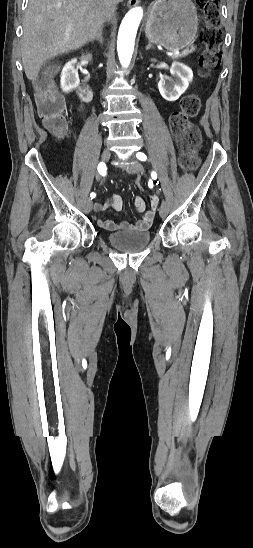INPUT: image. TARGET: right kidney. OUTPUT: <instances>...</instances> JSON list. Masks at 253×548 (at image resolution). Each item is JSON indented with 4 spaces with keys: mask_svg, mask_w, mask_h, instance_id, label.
<instances>
[{
    "mask_svg": "<svg viewBox=\"0 0 253 548\" xmlns=\"http://www.w3.org/2000/svg\"><path fill=\"white\" fill-rule=\"evenodd\" d=\"M87 57L90 58L91 55H88ZM76 63H77V60L72 59L71 61L66 63L62 69L61 88L66 93L71 92L74 88L78 86L80 82L78 72L75 69Z\"/></svg>",
    "mask_w": 253,
    "mask_h": 548,
    "instance_id": "ca27d5eb",
    "label": "right kidney"
}]
</instances>
